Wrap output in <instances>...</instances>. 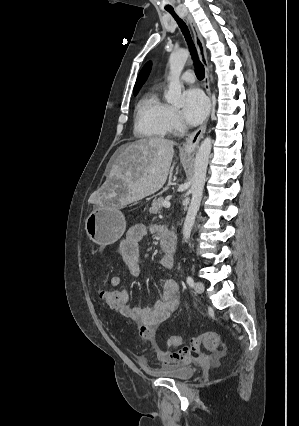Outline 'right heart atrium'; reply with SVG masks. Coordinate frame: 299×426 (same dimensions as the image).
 I'll return each mask as SVG.
<instances>
[{
	"instance_id": "right-heart-atrium-1",
	"label": "right heart atrium",
	"mask_w": 299,
	"mask_h": 426,
	"mask_svg": "<svg viewBox=\"0 0 299 426\" xmlns=\"http://www.w3.org/2000/svg\"><path fill=\"white\" fill-rule=\"evenodd\" d=\"M168 125L170 131H177L182 128V121L178 112L171 108L168 116Z\"/></svg>"
}]
</instances>
